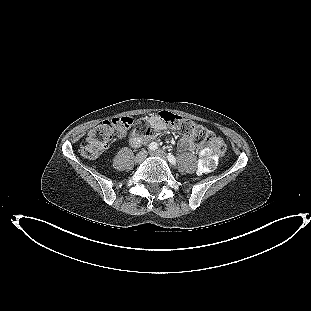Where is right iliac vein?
Returning a JSON list of instances; mask_svg holds the SVG:
<instances>
[{
    "mask_svg": "<svg viewBox=\"0 0 311 311\" xmlns=\"http://www.w3.org/2000/svg\"><path fill=\"white\" fill-rule=\"evenodd\" d=\"M146 155L147 152L145 150H142L135 156L134 161L136 163H141L145 159Z\"/></svg>",
    "mask_w": 311,
    "mask_h": 311,
    "instance_id": "63e3f726",
    "label": "right iliac vein"
}]
</instances>
